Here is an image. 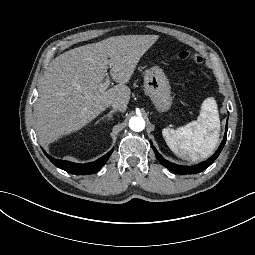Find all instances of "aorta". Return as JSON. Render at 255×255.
Masks as SVG:
<instances>
[{"instance_id": "1", "label": "aorta", "mask_w": 255, "mask_h": 255, "mask_svg": "<svg viewBox=\"0 0 255 255\" xmlns=\"http://www.w3.org/2000/svg\"><path fill=\"white\" fill-rule=\"evenodd\" d=\"M131 130L139 132L145 128V121L142 117L134 116L129 120Z\"/></svg>"}]
</instances>
